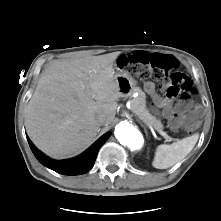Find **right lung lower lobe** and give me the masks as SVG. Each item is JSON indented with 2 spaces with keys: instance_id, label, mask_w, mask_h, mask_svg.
I'll list each match as a JSON object with an SVG mask.
<instances>
[{
  "instance_id": "right-lung-lower-lobe-1",
  "label": "right lung lower lobe",
  "mask_w": 221,
  "mask_h": 221,
  "mask_svg": "<svg viewBox=\"0 0 221 221\" xmlns=\"http://www.w3.org/2000/svg\"><path fill=\"white\" fill-rule=\"evenodd\" d=\"M110 133L100 137L87 151L81 155L64 160H52L39 151L27 136L29 146L40 163L63 175H80L89 171L95 162L100 147L108 139Z\"/></svg>"
}]
</instances>
